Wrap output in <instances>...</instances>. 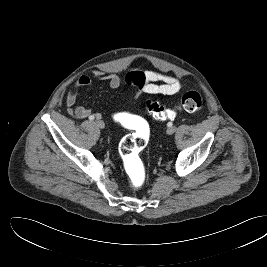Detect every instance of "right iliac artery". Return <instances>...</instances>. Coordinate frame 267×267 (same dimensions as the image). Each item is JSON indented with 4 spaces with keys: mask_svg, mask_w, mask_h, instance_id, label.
Segmentation results:
<instances>
[{
    "mask_svg": "<svg viewBox=\"0 0 267 267\" xmlns=\"http://www.w3.org/2000/svg\"><path fill=\"white\" fill-rule=\"evenodd\" d=\"M94 119H95L94 116H90V117H89V120H90V121H93Z\"/></svg>",
    "mask_w": 267,
    "mask_h": 267,
    "instance_id": "1",
    "label": "right iliac artery"
}]
</instances>
